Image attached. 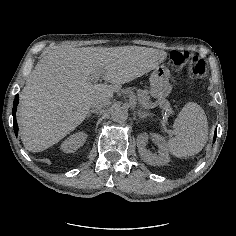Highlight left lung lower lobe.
I'll list each match as a JSON object with an SVG mask.
<instances>
[{"mask_svg": "<svg viewBox=\"0 0 236 236\" xmlns=\"http://www.w3.org/2000/svg\"><path fill=\"white\" fill-rule=\"evenodd\" d=\"M216 135H217V129L215 130V133H214V141L216 140Z\"/></svg>", "mask_w": 236, "mask_h": 236, "instance_id": "1", "label": "left lung lower lobe"}]
</instances>
